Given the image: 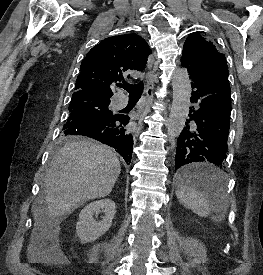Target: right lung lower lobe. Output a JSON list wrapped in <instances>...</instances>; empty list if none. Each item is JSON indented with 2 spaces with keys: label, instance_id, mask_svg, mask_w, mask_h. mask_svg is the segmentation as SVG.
Instances as JSON below:
<instances>
[{
  "label": "right lung lower lobe",
  "instance_id": "98d812e1",
  "mask_svg": "<svg viewBox=\"0 0 263 275\" xmlns=\"http://www.w3.org/2000/svg\"><path fill=\"white\" fill-rule=\"evenodd\" d=\"M128 122L129 116L115 114L105 118L83 120L64 129L63 132L68 135L91 137L111 146L129 164L132 157L133 137L125 128Z\"/></svg>",
  "mask_w": 263,
  "mask_h": 275
}]
</instances>
